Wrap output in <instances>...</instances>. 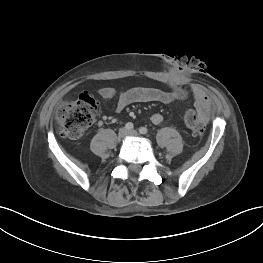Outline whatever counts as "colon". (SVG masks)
<instances>
[{
    "mask_svg": "<svg viewBox=\"0 0 263 263\" xmlns=\"http://www.w3.org/2000/svg\"><path fill=\"white\" fill-rule=\"evenodd\" d=\"M175 92L179 99H185L187 96L186 91L182 88H176ZM96 109V101L88 94H82L78 100L61 106L56 113L61 136L70 139L81 137L94 122ZM184 121L193 135L202 136L204 134V121L193 109L186 111Z\"/></svg>",
    "mask_w": 263,
    "mask_h": 263,
    "instance_id": "5ec220e1",
    "label": "colon"
}]
</instances>
